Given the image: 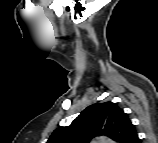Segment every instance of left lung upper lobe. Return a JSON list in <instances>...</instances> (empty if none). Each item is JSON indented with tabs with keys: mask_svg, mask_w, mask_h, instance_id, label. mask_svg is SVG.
<instances>
[{
	"mask_svg": "<svg viewBox=\"0 0 158 143\" xmlns=\"http://www.w3.org/2000/svg\"><path fill=\"white\" fill-rule=\"evenodd\" d=\"M101 135L117 143H132L137 133L117 103L103 102L88 106L71 125L54 130L47 143H88Z\"/></svg>",
	"mask_w": 158,
	"mask_h": 143,
	"instance_id": "1",
	"label": "left lung upper lobe"
}]
</instances>
